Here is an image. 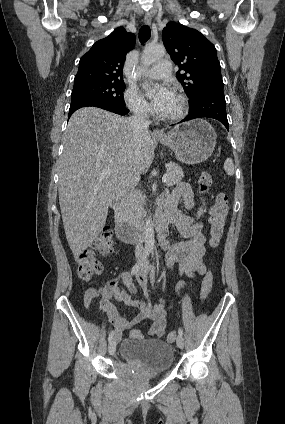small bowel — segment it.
<instances>
[{
    "instance_id": "obj_1",
    "label": "small bowel",
    "mask_w": 285,
    "mask_h": 424,
    "mask_svg": "<svg viewBox=\"0 0 285 424\" xmlns=\"http://www.w3.org/2000/svg\"><path fill=\"white\" fill-rule=\"evenodd\" d=\"M183 198L187 208H193L196 204V198L191 188L187 184L178 185L170 194L164 196L161 205L164 208V215L170 224L174 225L178 233L185 240L169 242L165 238H160V246L165 250V262L169 269H172L175 263H178L177 275L196 279L206 272V266L203 261L205 255V237L202 233L203 225L199 221L206 213V207L200 200L197 213L194 217L187 216L178 211L177 205ZM122 280L128 291H125L120 285ZM136 280L143 291L144 298H134L133 294L137 292L136 286L132 283L129 275L123 273L110 280L104 287L88 288L84 296V304L88 310H94L97 306L104 310L114 326L117 340L122 338L126 330L136 333L138 339L141 333L136 329L137 326L144 324L147 318L154 322L148 328V334L161 337L164 335L167 327V312L169 305L163 297H160L158 304H152L149 300L148 278L142 271L136 273ZM154 283L155 277H150ZM186 282L180 280L177 283V291L185 288ZM111 298L116 299L127 306L135 307L139 313L132 319L124 318L118 308L111 302Z\"/></svg>"
}]
</instances>
